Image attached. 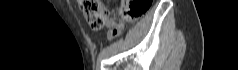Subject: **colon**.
<instances>
[{
	"mask_svg": "<svg viewBox=\"0 0 238 70\" xmlns=\"http://www.w3.org/2000/svg\"><path fill=\"white\" fill-rule=\"evenodd\" d=\"M78 5L89 26L101 29L107 22V11L98 0H78ZM150 0H122L120 14L127 21L141 17L149 8ZM117 33V30H114Z\"/></svg>",
	"mask_w": 238,
	"mask_h": 70,
	"instance_id": "5ec220e1",
	"label": "colon"
}]
</instances>
